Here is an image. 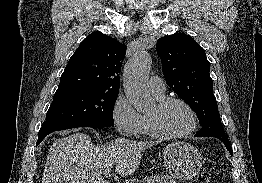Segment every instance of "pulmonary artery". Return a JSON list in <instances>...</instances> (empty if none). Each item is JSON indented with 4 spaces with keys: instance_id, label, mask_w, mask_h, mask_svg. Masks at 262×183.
<instances>
[{
    "instance_id": "e3ab8cb5",
    "label": "pulmonary artery",
    "mask_w": 262,
    "mask_h": 183,
    "mask_svg": "<svg viewBox=\"0 0 262 183\" xmlns=\"http://www.w3.org/2000/svg\"><path fill=\"white\" fill-rule=\"evenodd\" d=\"M149 88L155 97H163L166 92V85L162 78L152 76L149 80Z\"/></svg>"
}]
</instances>
